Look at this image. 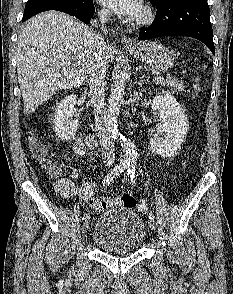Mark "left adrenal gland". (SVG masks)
Masks as SVG:
<instances>
[{
    "label": "left adrenal gland",
    "mask_w": 233,
    "mask_h": 294,
    "mask_svg": "<svg viewBox=\"0 0 233 294\" xmlns=\"http://www.w3.org/2000/svg\"><path fill=\"white\" fill-rule=\"evenodd\" d=\"M144 78H145V75L142 74L141 77H140V81H139V85H140V87L142 86L143 82L145 81Z\"/></svg>",
    "instance_id": "a2214340"
}]
</instances>
